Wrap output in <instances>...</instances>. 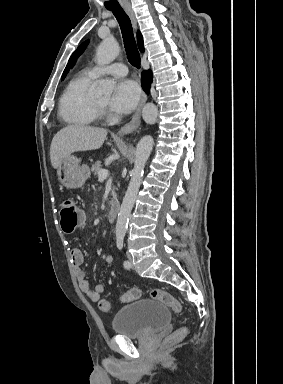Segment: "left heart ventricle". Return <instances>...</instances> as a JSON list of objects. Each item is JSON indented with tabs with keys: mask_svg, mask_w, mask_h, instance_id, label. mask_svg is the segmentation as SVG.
Here are the masks:
<instances>
[{
	"mask_svg": "<svg viewBox=\"0 0 283 384\" xmlns=\"http://www.w3.org/2000/svg\"><path fill=\"white\" fill-rule=\"evenodd\" d=\"M95 100L104 107H107L110 101L109 97L96 98Z\"/></svg>",
	"mask_w": 283,
	"mask_h": 384,
	"instance_id": "obj_1",
	"label": "left heart ventricle"
}]
</instances>
